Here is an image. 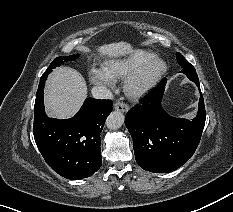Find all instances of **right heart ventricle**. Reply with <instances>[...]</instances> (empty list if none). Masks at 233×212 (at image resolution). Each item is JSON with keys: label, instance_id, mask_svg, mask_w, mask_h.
I'll list each match as a JSON object with an SVG mask.
<instances>
[{"label": "right heart ventricle", "instance_id": "obj_1", "mask_svg": "<svg viewBox=\"0 0 233 212\" xmlns=\"http://www.w3.org/2000/svg\"><path fill=\"white\" fill-rule=\"evenodd\" d=\"M153 57H155L154 53L144 49H137L122 59L107 61L104 70L113 79L124 78Z\"/></svg>", "mask_w": 233, "mask_h": 212}]
</instances>
